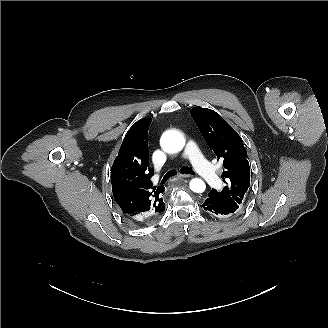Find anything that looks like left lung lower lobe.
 <instances>
[{
    "mask_svg": "<svg viewBox=\"0 0 328 328\" xmlns=\"http://www.w3.org/2000/svg\"><path fill=\"white\" fill-rule=\"evenodd\" d=\"M202 207L205 211L209 212L210 214L220 216V217H228L233 212L227 209L226 207L222 206L218 202H216L213 198L208 196V198L203 203Z\"/></svg>",
    "mask_w": 328,
    "mask_h": 328,
    "instance_id": "obj_1",
    "label": "left lung lower lobe"
}]
</instances>
